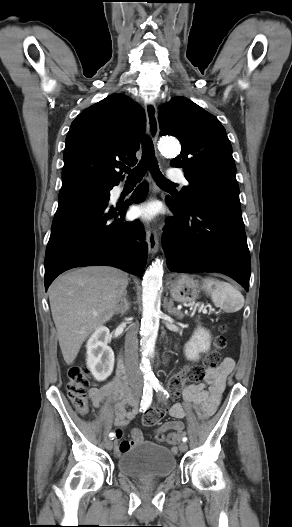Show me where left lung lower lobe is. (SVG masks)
Instances as JSON below:
<instances>
[{
	"mask_svg": "<svg viewBox=\"0 0 292 527\" xmlns=\"http://www.w3.org/2000/svg\"><path fill=\"white\" fill-rule=\"evenodd\" d=\"M174 212L166 219L162 246L173 272H220L246 291L250 279V253L240 204L199 202L187 208L167 197Z\"/></svg>",
	"mask_w": 292,
	"mask_h": 527,
	"instance_id": "1",
	"label": "left lung lower lobe"
}]
</instances>
